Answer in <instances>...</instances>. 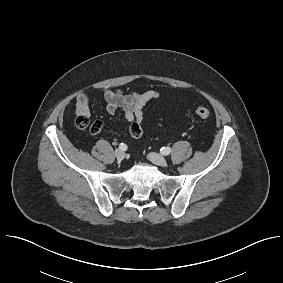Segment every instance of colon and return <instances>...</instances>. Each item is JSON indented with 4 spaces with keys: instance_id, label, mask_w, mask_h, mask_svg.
I'll use <instances>...</instances> for the list:
<instances>
[{
    "instance_id": "obj_1",
    "label": "colon",
    "mask_w": 283,
    "mask_h": 283,
    "mask_svg": "<svg viewBox=\"0 0 283 283\" xmlns=\"http://www.w3.org/2000/svg\"><path fill=\"white\" fill-rule=\"evenodd\" d=\"M195 114L201 119H208L211 116L209 109L205 107H197L195 109ZM76 125L80 129H86L88 127V119L86 116H78L76 119ZM103 129V123L101 121H96L90 126V131L93 134H99Z\"/></svg>"
}]
</instances>
